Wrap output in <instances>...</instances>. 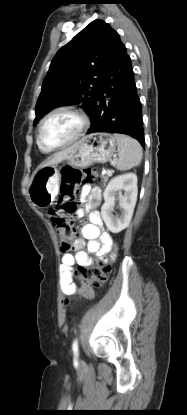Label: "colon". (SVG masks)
Listing matches in <instances>:
<instances>
[{
  "label": "colon",
  "mask_w": 187,
  "mask_h": 415,
  "mask_svg": "<svg viewBox=\"0 0 187 415\" xmlns=\"http://www.w3.org/2000/svg\"><path fill=\"white\" fill-rule=\"evenodd\" d=\"M95 180L96 173L92 169L80 171L69 167L63 172L60 187V208L49 212L50 220L57 231L63 250L70 247L75 235L72 216L76 210L74 199L79 192V188L81 185L93 183ZM109 271V265L102 262L88 267H81L77 270L76 276L83 286L82 294L85 298H92L93 289L103 286ZM64 303L69 305L70 301L65 300Z\"/></svg>",
  "instance_id": "5ec220e1"
}]
</instances>
